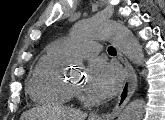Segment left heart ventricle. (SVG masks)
<instances>
[{"label": "left heart ventricle", "mask_w": 165, "mask_h": 120, "mask_svg": "<svg viewBox=\"0 0 165 120\" xmlns=\"http://www.w3.org/2000/svg\"><path fill=\"white\" fill-rule=\"evenodd\" d=\"M72 85L74 86H78V87H84L85 85V79L82 78V77H78L76 79H74L72 82H71Z\"/></svg>", "instance_id": "obj_1"}]
</instances>
